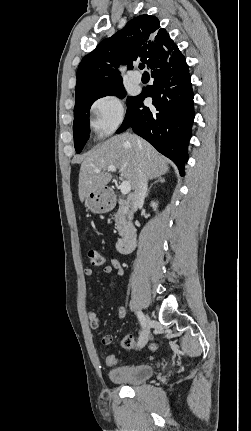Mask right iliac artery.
<instances>
[{"label":"right iliac artery","instance_id":"right-iliac-artery-1","mask_svg":"<svg viewBox=\"0 0 251 431\" xmlns=\"http://www.w3.org/2000/svg\"><path fill=\"white\" fill-rule=\"evenodd\" d=\"M137 317H138V320H139L141 326L144 327L145 323H146V319H145L144 314L142 312L138 311L137 312Z\"/></svg>","mask_w":251,"mask_h":431}]
</instances>
